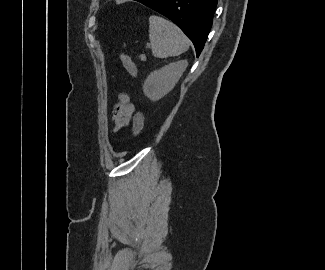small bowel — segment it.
<instances>
[{
    "instance_id": "small-bowel-1",
    "label": "small bowel",
    "mask_w": 325,
    "mask_h": 270,
    "mask_svg": "<svg viewBox=\"0 0 325 270\" xmlns=\"http://www.w3.org/2000/svg\"><path fill=\"white\" fill-rule=\"evenodd\" d=\"M135 111V106L130 102L125 94L120 95L119 102L114 106L113 120L116 128L125 126L131 119Z\"/></svg>"
}]
</instances>
